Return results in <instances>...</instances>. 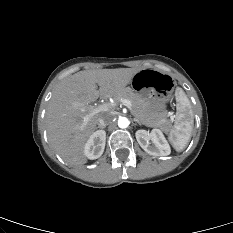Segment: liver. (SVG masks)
I'll list each match as a JSON object with an SVG mask.
<instances>
[{
  "label": "liver",
  "instance_id": "6515ba94",
  "mask_svg": "<svg viewBox=\"0 0 233 233\" xmlns=\"http://www.w3.org/2000/svg\"><path fill=\"white\" fill-rule=\"evenodd\" d=\"M139 71L134 68L84 70L57 85L47 107V133L51 145L66 162L74 165L87 162L84 146L96 130L98 118L108 113H97L84 123L89 104L98 97H120ZM76 103L83 107H76Z\"/></svg>",
  "mask_w": 233,
  "mask_h": 233
}]
</instances>
